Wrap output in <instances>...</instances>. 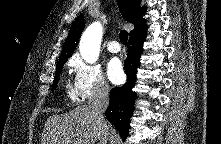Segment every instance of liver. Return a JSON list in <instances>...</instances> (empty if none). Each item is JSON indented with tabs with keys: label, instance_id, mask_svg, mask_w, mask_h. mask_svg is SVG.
Here are the masks:
<instances>
[{
	"label": "liver",
	"instance_id": "1",
	"mask_svg": "<svg viewBox=\"0 0 221 144\" xmlns=\"http://www.w3.org/2000/svg\"><path fill=\"white\" fill-rule=\"evenodd\" d=\"M101 127L88 106L80 105L69 113L48 117L42 144H95L100 138ZM106 130L109 125L106 122Z\"/></svg>",
	"mask_w": 221,
	"mask_h": 144
}]
</instances>
